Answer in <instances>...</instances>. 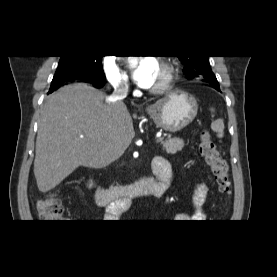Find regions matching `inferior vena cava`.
<instances>
[{
  "label": "inferior vena cava",
  "mask_w": 277,
  "mask_h": 277,
  "mask_svg": "<svg viewBox=\"0 0 277 277\" xmlns=\"http://www.w3.org/2000/svg\"><path fill=\"white\" fill-rule=\"evenodd\" d=\"M128 94V84L126 82H116L114 83V91L112 95L108 98L111 102H122Z\"/></svg>",
  "instance_id": "inferior-vena-cava-1"
}]
</instances>
